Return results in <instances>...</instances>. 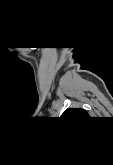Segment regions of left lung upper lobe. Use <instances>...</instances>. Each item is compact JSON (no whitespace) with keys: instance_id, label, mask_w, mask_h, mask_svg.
I'll list each match as a JSON object with an SVG mask.
<instances>
[{"instance_id":"1","label":"left lung upper lobe","mask_w":113,"mask_h":165,"mask_svg":"<svg viewBox=\"0 0 113 165\" xmlns=\"http://www.w3.org/2000/svg\"><path fill=\"white\" fill-rule=\"evenodd\" d=\"M63 115L65 116H70V117H73V116H79V115H85L87 116V112L83 109H67ZM62 115V116H63Z\"/></svg>"}]
</instances>
